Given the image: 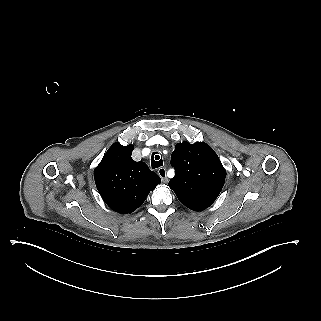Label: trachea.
<instances>
[{"mask_svg":"<svg viewBox=\"0 0 321 321\" xmlns=\"http://www.w3.org/2000/svg\"><path fill=\"white\" fill-rule=\"evenodd\" d=\"M163 165V160L160 158L157 152H153L151 156V166L153 169L161 167Z\"/></svg>","mask_w":321,"mask_h":321,"instance_id":"trachea-1","label":"trachea"}]
</instances>
